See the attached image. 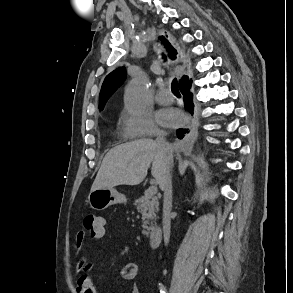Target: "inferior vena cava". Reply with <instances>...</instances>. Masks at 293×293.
<instances>
[{"mask_svg": "<svg viewBox=\"0 0 293 293\" xmlns=\"http://www.w3.org/2000/svg\"><path fill=\"white\" fill-rule=\"evenodd\" d=\"M156 143L161 151L166 155V170L162 181L160 182V188L164 192L163 203V234L165 245L169 242L170 237V216L172 208V180H171V166L173 163L172 150L166 142L165 135L159 134L156 139Z\"/></svg>", "mask_w": 293, "mask_h": 293, "instance_id": "inferior-vena-cava-1", "label": "inferior vena cava"}]
</instances>
